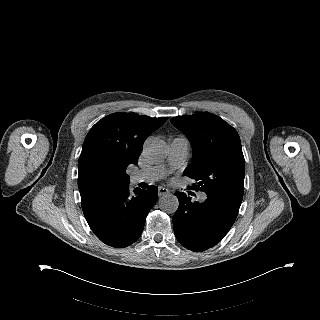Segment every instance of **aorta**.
Instances as JSON below:
<instances>
[{"label":"aorta","mask_w":320,"mask_h":320,"mask_svg":"<svg viewBox=\"0 0 320 320\" xmlns=\"http://www.w3.org/2000/svg\"><path fill=\"white\" fill-rule=\"evenodd\" d=\"M168 145L159 138H149L143 147L145 157L153 162H162L168 155ZM160 209L166 213H175L179 206L178 198L173 194H165L159 199Z\"/></svg>","instance_id":"aorta-1"}]
</instances>
